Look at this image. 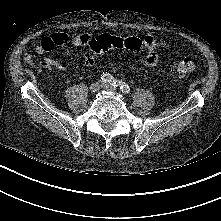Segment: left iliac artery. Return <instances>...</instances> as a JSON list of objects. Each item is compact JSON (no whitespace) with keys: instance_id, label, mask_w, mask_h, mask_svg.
<instances>
[{"instance_id":"left-iliac-artery-1","label":"left iliac artery","mask_w":221,"mask_h":221,"mask_svg":"<svg viewBox=\"0 0 221 221\" xmlns=\"http://www.w3.org/2000/svg\"><path fill=\"white\" fill-rule=\"evenodd\" d=\"M112 86L114 87H117L119 86L120 87V90L123 92V93H128L130 91V87L128 84H126L125 82H120L118 80H115L114 83L112 84Z\"/></svg>"}]
</instances>
